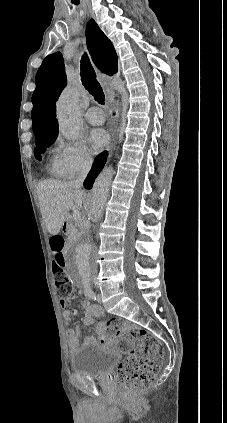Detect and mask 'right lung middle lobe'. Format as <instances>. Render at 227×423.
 <instances>
[{
	"label": "right lung middle lobe",
	"instance_id": "right-lung-middle-lobe-1",
	"mask_svg": "<svg viewBox=\"0 0 227 423\" xmlns=\"http://www.w3.org/2000/svg\"><path fill=\"white\" fill-rule=\"evenodd\" d=\"M56 138L57 135L36 138L37 147L34 149V155L37 160L41 161V153H43L46 147L50 146Z\"/></svg>",
	"mask_w": 227,
	"mask_h": 423
}]
</instances>
